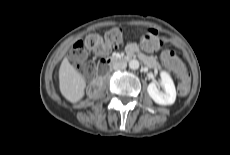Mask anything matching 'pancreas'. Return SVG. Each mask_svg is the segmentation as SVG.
<instances>
[{
	"instance_id": "cf45deb5",
	"label": "pancreas",
	"mask_w": 230,
	"mask_h": 155,
	"mask_svg": "<svg viewBox=\"0 0 230 155\" xmlns=\"http://www.w3.org/2000/svg\"><path fill=\"white\" fill-rule=\"evenodd\" d=\"M143 62L150 68L158 67V62L156 61V58L153 56L150 57H143L140 56Z\"/></svg>"
}]
</instances>
